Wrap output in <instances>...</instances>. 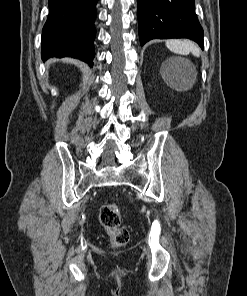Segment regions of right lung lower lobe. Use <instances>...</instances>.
Returning a JSON list of instances; mask_svg holds the SVG:
<instances>
[{"label": "right lung lower lobe", "mask_w": 247, "mask_h": 296, "mask_svg": "<svg viewBox=\"0 0 247 296\" xmlns=\"http://www.w3.org/2000/svg\"><path fill=\"white\" fill-rule=\"evenodd\" d=\"M97 1L49 0V15L41 38L43 59L73 57L92 66Z\"/></svg>", "instance_id": "right-lung-lower-lobe-1"}]
</instances>
